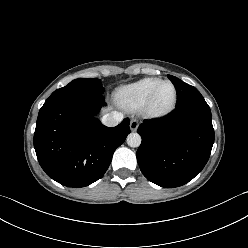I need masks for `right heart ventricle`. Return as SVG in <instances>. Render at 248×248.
I'll use <instances>...</instances> for the list:
<instances>
[{"instance_id":"obj_1","label":"right heart ventricle","mask_w":248,"mask_h":248,"mask_svg":"<svg viewBox=\"0 0 248 248\" xmlns=\"http://www.w3.org/2000/svg\"><path fill=\"white\" fill-rule=\"evenodd\" d=\"M160 81L162 80L159 78L147 77L122 86L116 92V100L125 109H139L147 95Z\"/></svg>"}]
</instances>
